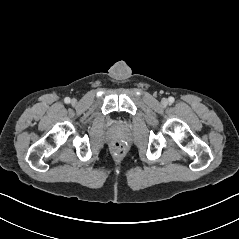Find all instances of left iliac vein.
<instances>
[{"label":"left iliac vein","instance_id":"1","mask_svg":"<svg viewBox=\"0 0 239 239\" xmlns=\"http://www.w3.org/2000/svg\"><path fill=\"white\" fill-rule=\"evenodd\" d=\"M162 102H163L164 104H166V103H167V100H166V99H164Z\"/></svg>","mask_w":239,"mask_h":239}]
</instances>
